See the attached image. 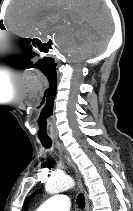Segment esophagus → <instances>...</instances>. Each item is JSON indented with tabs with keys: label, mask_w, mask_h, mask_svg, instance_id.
<instances>
[{
	"label": "esophagus",
	"mask_w": 133,
	"mask_h": 211,
	"mask_svg": "<svg viewBox=\"0 0 133 211\" xmlns=\"http://www.w3.org/2000/svg\"><path fill=\"white\" fill-rule=\"evenodd\" d=\"M56 147L59 150L60 154L65 159L66 163L74 170L78 189L84 195V199H85V211H90V203H89V199H88V194L86 192V189L84 188V185H83L82 179H81V175H80V173H79L76 165L74 164V162L72 161L70 155L68 154V152L66 151V149L64 148V146L61 143L56 142Z\"/></svg>",
	"instance_id": "1"
}]
</instances>
